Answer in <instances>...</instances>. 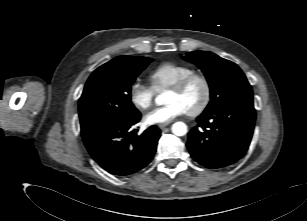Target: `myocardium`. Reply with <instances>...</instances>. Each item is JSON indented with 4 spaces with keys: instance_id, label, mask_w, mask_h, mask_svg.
<instances>
[{
    "instance_id": "obj_1",
    "label": "myocardium",
    "mask_w": 307,
    "mask_h": 221,
    "mask_svg": "<svg viewBox=\"0 0 307 221\" xmlns=\"http://www.w3.org/2000/svg\"><path fill=\"white\" fill-rule=\"evenodd\" d=\"M198 81L203 85L204 88V96L201 103L193 110L187 111V115L190 117H197L205 112L208 108L211 99H212V85L210 80L203 74L199 73H192L189 74L176 83L169 87L170 90L175 92H182L184 91L191 83Z\"/></svg>"
}]
</instances>
